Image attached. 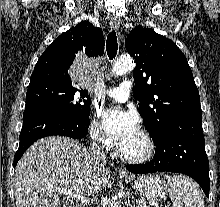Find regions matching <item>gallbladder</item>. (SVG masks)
Masks as SVG:
<instances>
[{
    "label": "gallbladder",
    "instance_id": "gallbladder-1",
    "mask_svg": "<svg viewBox=\"0 0 220 207\" xmlns=\"http://www.w3.org/2000/svg\"><path fill=\"white\" fill-rule=\"evenodd\" d=\"M66 202L65 201H61L60 205L58 207H65Z\"/></svg>",
    "mask_w": 220,
    "mask_h": 207
}]
</instances>
